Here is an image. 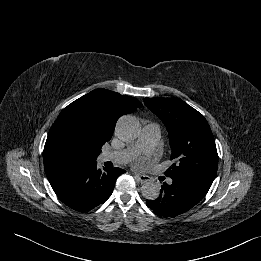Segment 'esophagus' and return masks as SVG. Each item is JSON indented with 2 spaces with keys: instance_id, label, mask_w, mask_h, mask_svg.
I'll return each mask as SVG.
<instances>
[{
  "instance_id": "1",
  "label": "esophagus",
  "mask_w": 261,
  "mask_h": 261,
  "mask_svg": "<svg viewBox=\"0 0 261 261\" xmlns=\"http://www.w3.org/2000/svg\"><path fill=\"white\" fill-rule=\"evenodd\" d=\"M135 177L139 180L141 183L148 182L150 180V177L147 175L135 173Z\"/></svg>"
}]
</instances>
